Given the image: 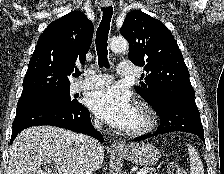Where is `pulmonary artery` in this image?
Instances as JSON below:
<instances>
[{
    "mask_svg": "<svg viewBox=\"0 0 224 174\" xmlns=\"http://www.w3.org/2000/svg\"><path fill=\"white\" fill-rule=\"evenodd\" d=\"M118 74L121 77H132L138 74L137 67L131 62H121L118 66ZM111 82L107 74H84V79L73 85V91L79 92L92 88L103 87Z\"/></svg>",
    "mask_w": 224,
    "mask_h": 174,
    "instance_id": "obj_1",
    "label": "pulmonary artery"
}]
</instances>
